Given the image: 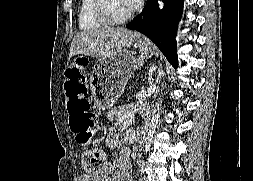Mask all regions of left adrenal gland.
Segmentation results:
<instances>
[{
	"label": "left adrenal gland",
	"instance_id": "1",
	"mask_svg": "<svg viewBox=\"0 0 253 181\" xmlns=\"http://www.w3.org/2000/svg\"><path fill=\"white\" fill-rule=\"evenodd\" d=\"M158 91H159V88L157 87V89H156V94L158 93Z\"/></svg>",
	"mask_w": 253,
	"mask_h": 181
}]
</instances>
